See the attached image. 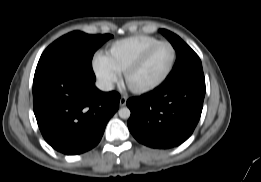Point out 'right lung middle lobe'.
<instances>
[{
	"instance_id": "right-lung-middle-lobe-1",
	"label": "right lung middle lobe",
	"mask_w": 261,
	"mask_h": 182,
	"mask_svg": "<svg viewBox=\"0 0 261 182\" xmlns=\"http://www.w3.org/2000/svg\"><path fill=\"white\" fill-rule=\"evenodd\" d=\"M111 34L88 35L80 31L68 33L53 42L41 55L36 71L40 72L60 62L70 61L84 70L90 79H95L92 70L94 52Z\"/></svg>"
}]
</instances>
